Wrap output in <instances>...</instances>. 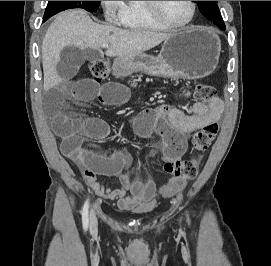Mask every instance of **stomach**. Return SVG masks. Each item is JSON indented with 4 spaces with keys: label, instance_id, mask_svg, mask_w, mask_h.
<instances>
[{
    "label": "stomach",
    "instance_id": "obj_1",
    "mask_svg": "<svg viewBox=\"0 0 271 266\" xmlns=\"http://www.w3.org/2000/svg\"><path fill=\"white\" fill-rule=\"evenodd\" d=\"M221 42L208 28L190 27L164 40L157 57L144 52L118 57L119 71H145L181 79H199L218 65Z\"/></svg>",
    "mask_w": 271,
    "mask_h": 266
}]
</instances>
